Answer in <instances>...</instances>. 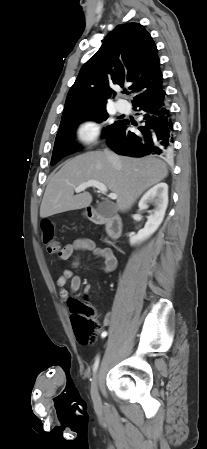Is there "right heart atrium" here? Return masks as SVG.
I'll list each match as a JSON object with an SVG mask.
<instances>
[{
    "label": "right heart atrium",
    "instance_id": "obj_1",
    "mask_svg": "<svg viewBox=\"0 0 207 449\" xmlns=\"http://www.w3.org/2000/svg\"><path fill=\"white\" fill-rule=\"evenodd\" d=\"M100 134V125L93 119L82 121L77 127V136L82 144L94 142Z\"/></svg>",
    "mask_w": 207,
    "mask_h": 449
}]
</instances>
